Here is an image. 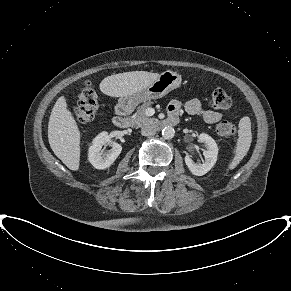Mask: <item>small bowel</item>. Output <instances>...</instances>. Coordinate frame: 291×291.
<instances>
[{"label":"small bowel","mask_w":291,"mask_h":291,"mask_svg":"<svg viewBox=\"0 0 291 291\" xmlns=\"http://www.w3.org/2000/svg\"><path fill=\"white\" fill-rule=\"evenodd\" d=\"M184 107L185 111L190 115H201L206 123L214 124L221 120L222 114L218 111L204 109L198 99L188 100L184 105L179 101H172L168 106L170 117H176L181 108Z\"/></svg>","instance_id":"c3829d8e"}]
</instances>
